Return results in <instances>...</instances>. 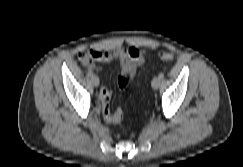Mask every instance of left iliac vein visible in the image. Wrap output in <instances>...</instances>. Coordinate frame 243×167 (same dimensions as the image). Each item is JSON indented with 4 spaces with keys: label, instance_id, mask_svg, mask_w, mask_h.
<instances>
[{
    "label": "left iliac vein",
    "instance_id": "1",
    "mask_svg": "<svg viewBox=\"0 0 243 167\" xmlns=\"http://www.w3.org/2000/svg\"><path fill=\"white\" fill-rule=\"evenodd\" d=\"M161 84V79L159 77H155L153 80H152V88L153 89H157Z\"/></svg>",
    "mask_w": 243,
    "mask_h": 167
}]
</instances>
